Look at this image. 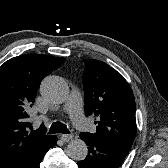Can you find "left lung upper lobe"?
Instances as JSON below:
<instances>
[{
    "label": "left lung upper lobe",
    "instance_id": "obj_1",
    "mask_svg": "<svg viewBox=\"0 0 168 168\" xmlns=\"http://www.w3.org/2000/svg\"><path fill=\"white\" fill-rule=\"evenodd\" d=\"M84 63L85 115L99 118L96 132L91 135L129 152L137 130L132 89L124 77L106 63L95 59L84 60Z\"/></svg>",
    "mask_w": 168,
    "mask_h": 168
}]
</instances>
